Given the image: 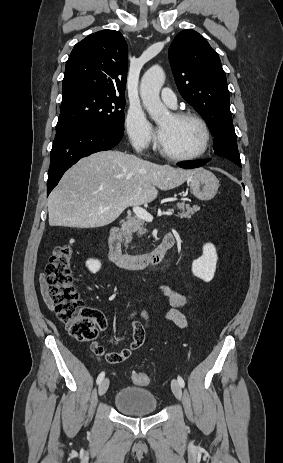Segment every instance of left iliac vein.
I'll return each mask as SVG.
<instances>
[{
    "instance_id": "4c4485c4",
    "label": "left iliac vein",
    "mask_w": 283,
    "mask_h": 463,
    "mask_svg": "<svg viewBox=\"0 0 283 463\" xmlns=\"http://www.w3.org/2000/svg\"><path fill=\"white\" fill-rule=\"evenodd\" d=\"M171 389L175 397L180 400L182 397V389L179 382L175 379L171 381Z\"/></svg>"
}]
</instances>
